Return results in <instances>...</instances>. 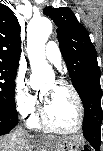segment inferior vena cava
I'll use <instances>...</instances> for the list:
<instances>
[{"label": "inferior vena cava", "mask_w": 103, "mask_h": 151, "mask_svg": "<svg viewBox=\"0 0 103 151\" xmlns=\"http://www.w3.org/2000/svg\"><path fill=\"white\" fill-rule=\"evenodd\" d=\"M16 132H21V133H22V131H20V130H18V131H16Z\"/></svg>", "instance_id": "inferior-vena-cava-1"}]
</instances>
